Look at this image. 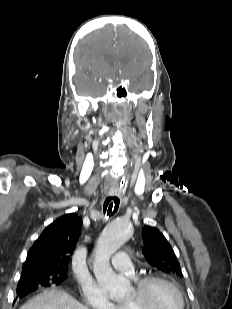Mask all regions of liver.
<instances>
[{"instance_id": "6515ba94", "label": "liver", "mask_w": 232, "mask_h": 309, "mask_svg": "<svg viewBox=\"0 0 232 309\" xmlns=\"http://www.w3.org/2000/svg\"><path fill=\"white\" fill-rule=\"evenodd\" d=\"M20 309H89L63 290L52 289L38 294Z\"/></svg>"}]
</instances>
